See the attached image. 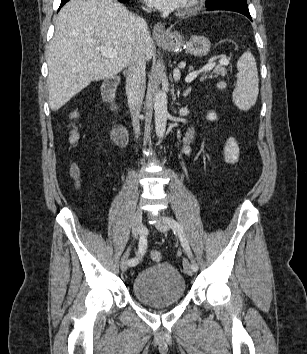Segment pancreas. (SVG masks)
<instances>
[{"instance_id": "pancreas-1", "label": "pancreas", "mask_w": 307, "mask_h": 354, "mask_svg": "<svg viewBox=\"0 0 307 354\" xmlns=\"http://www.w3.org/2000/svg\"><path fill=\"white\" fill-rule=\"evenodd\" d=\"M189 70H192V67L189 68ZM227 73L225 67L221 64V65H215L214 66V69L210 72V74H207L205 73L203 76H202V80L204 79H207V78H216L218 75H221V76H225Z\"/></svg>"}]
</instances>
